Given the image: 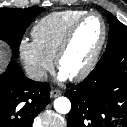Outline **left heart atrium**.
Returning <instances> with one entry per match:
<instances>
[{"mask_svg": "<svg viewBox=\"0 0 127 127\" xmlns=\"http://www.w3.org/2000/svg\"><path fill=\"white\" fill-rule=\"evenodd\" d=\"M69 76H67L65 73H63L62 71H61V73L59 74V79L60 80H65V79H67Z\"/></svg>", "mask_w": 127, "mask_h": 127, "instance_id": "39dd6f15", "label": "left heart atrium"}]
</instances>
